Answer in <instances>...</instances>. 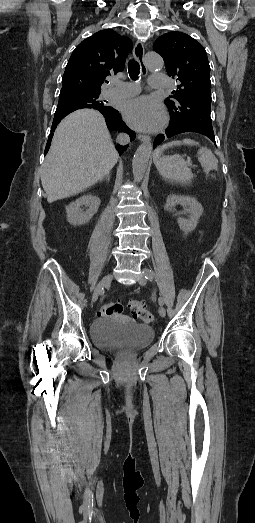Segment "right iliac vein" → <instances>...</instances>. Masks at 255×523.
Returning <instances> with one entry per match:
<instances>
[{
    "label": "right iliac vein",
    "mask_w": 255,
    "mask_h": 523,
    "mask_svg": "<svg viewBox=\"0 0 255 523\" xmlns=\"http://www.w3.org/2000/svg\"><path fill=\"white\" fill-rule=\"evenodd\" d=\"M113 279V276L111 274L105 276L100 282L99 284L97 285V287L95 288L94 290V293H93V296H92V300L93 301H96L98 296L101 294L103 288L105 286H107L108 284H110V282L112 281Z\"/></svg>",
    "instance_id": "right-iliac-vein-1"
}]
</instances>
